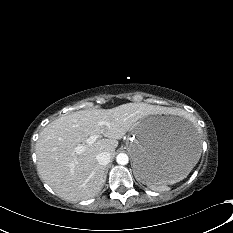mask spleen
<instances>
[{
	"mask_svg": "<svg viewBox=\"0 0 233 233\" xmlns=\"http://www.w3.org/2000/svg\"><path fill=\"white\" fill-rule=\"evenodd\" d=\"M173 182H170L169 184H171ZM151 188H154V189H165L167 187V183H163V184H151L150 185Z\"/></svg>",
	"mask_w": 233,
	"mask_h": 233,
	"instance_id": "spleen-1",
	"label": "spleen"
}]
</instances>
